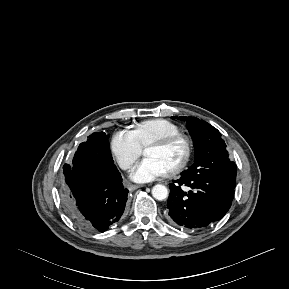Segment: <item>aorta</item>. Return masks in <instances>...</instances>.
Instances as JSON below:
<instances>
[{
    "label": "aorta",
    "mask_w": 289,
    "mask_h": 289,
    "mask_svg": "<svg viewBox=\"0 0 289 289\" xmlns=\"http://www.w3.org/2000/svg\"><path fill=\"white\" fill-rule=\"evenodd\" d=\"M152 196L159 201L168 197V189L162 184H157L152 188Z\"/></svg>",
    "instance_id": "1"
}]
</instances>
